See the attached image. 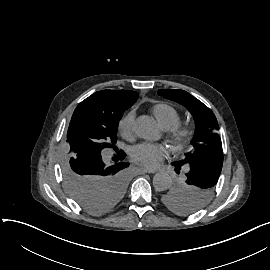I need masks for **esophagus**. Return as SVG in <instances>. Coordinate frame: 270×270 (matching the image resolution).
Here are the masks:
<instances>
[{"label": "esophagus", "mask_w": 270, "mask_h": 270, "mask_svg": "<svg viewBox=\"0 0 270 270\" xmlns=\"http://www.w3.org/2000/svg\"><path fill=\"white\" fill-rule=\"evenodd\" d=\"M156 171H157L156 168H147V167L142 168V169L139 170L140 174H144V173L152 174V173H155Z\"/></svg>", "instance_id": "34e87169"}]
</instances>
